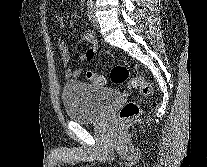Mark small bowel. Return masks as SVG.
<instances>
[{
    "label": "small bowel",
    "instance_id": "1",
    "mask_svg": "<svg viewBox=\"0 0 207 167\" xmlns=\"http://www.w3.org/2000/svg\"><path fill=\"white\" fill-rule=\"evenodd\" d=\"M54 21L55 23H57L58 25L62 27L65 23V17L62 14H57L54 16ZM82 39L88 43V48L84 53L80 54L78 58L84 62H91L95 58L97 50H98L97 41L93 33L90 31L84 33L82 36ZM58 45L61 50V58H62V62L65 68V77L66 78H80L83 74V71L81 69L73 70L69 67L70 54L68 52V49L64 41L59 39Z\"/></svg>",
    "mask_w": 207,
    "mask_h": 167
}]
</instances>
